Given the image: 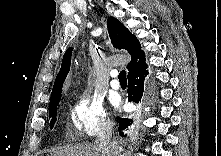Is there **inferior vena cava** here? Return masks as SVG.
<instances>
[{"mask_svg":"<svg viewBox=\"0 0 221 156\" xmlns=\"http://www.w3.org/2000/svg\"><path fill=\"white\" fill-rule=\"evenodd\" d=\"M112 137V128L110 123L107 124V127L102 131L96 140V142L103 147L107 152H113L116 146H119L117 143L111 142Z\"/></svg>","mask_w":221,"mask_h":156,"instance_id":"602c4592","label":"inferior vena cava"}]
</instances>
